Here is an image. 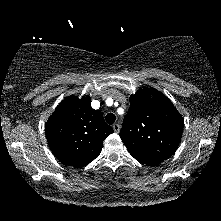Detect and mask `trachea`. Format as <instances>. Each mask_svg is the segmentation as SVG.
Returning <instances> with one entry per match:
<instances>
[{"label":"trachea","instance_id":"3493384b","mask_svg":"<svg viewBox=\"0 0 221 221\" xmlns=\"http://www.w3.org/2000/svg\"><path fill=\"white\" fill-rule=\"evenodd\" d=\"M105 119H106V122L111 125L115 122L116 116L113 113H108Z\"/></svg>","mask_w":221,"mask_h":221}]
</instances>
